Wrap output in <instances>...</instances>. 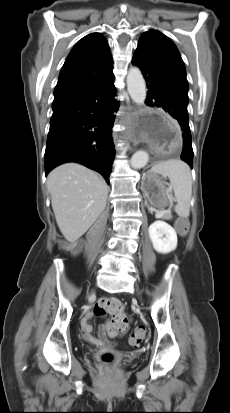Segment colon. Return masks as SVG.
Masks as SVG:
<instances>
[{
	"instance_id": "colon-1",
	"label": "colon",
	"mask_w": 230,
	"mask_h": 413,
	"mask_svg": "<svg viewBox=\"0 0 230 413\" xmlns=\"http://www.w3.org/2000/svg\"><path fill=\"white\" fill-rule=\"evenodd\" d=\"M177 231L180 234H185L187 232V222L184 219H179L176 224ZM94 313L97 316L112 315L116 317L124 313V307L122 302L117 298H106L101 299L94 305ZM146 336V329L144 326H137L133 329L130 337L129 343L133 346L139 345ZM102 361L104 363H111L113 361V355L106 353L102 356Z\"/></svg>"
}]
</instances>
